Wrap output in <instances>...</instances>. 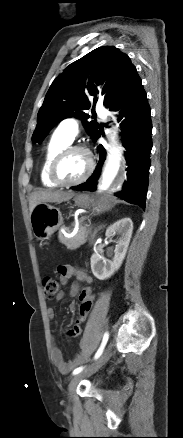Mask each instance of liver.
<instances>
[{
    "instance_id": "liver-1",
    "label": "liver",
    "mask_w": 183,
    "mask_h": 438,
    "mask_svg": "<svg viewBox=\"0 0 183 438\" xmlns=\"http://www.w3.org/2000/svg\"><path fill=\"white\" fill-rule=\"evenodd\" d=\"M75 195L72 191L41 190L33 192L29 198L30 213L40 203H61L70 200Z\"/></svg>"
}]
</instances>
